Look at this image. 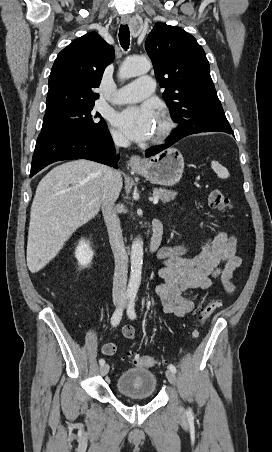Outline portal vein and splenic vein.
<instances>
[{
	"instance_id": "obj_1",
	"label": "portal vein and splenic vein",
	"mask_w": 272,
	"mask_h": 452,
	"mask_svg": "<svg viewBox=\"0 0 272 452\" xmlns=\"http://www.w3.org/2000/svg\"><path fill=\"white\" fill-rule=\"evenodd\" d=\"M158 201H159V197H158V196H154V197L152 198L153 204H157Z\"/></svg>"
}]
</instances>
